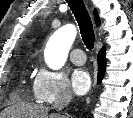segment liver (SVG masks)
Masks as SVG:
<instances>
[{
	"label": "liver",
	"mask_w": 133,
	"mask_h": 118,
	"mask_svg": "<svg viewBox=\"0 0 133 118\" xmlns=\"http://www.w3.org/2000/svg\"><path fill=\"white\" fill-rule=\"evenodd\" d=\"M1 118H57L49 109L40 105L17 104L4 110Z\"/></svg>",
	"instance_id": "obj_1"
}]
</instances>
